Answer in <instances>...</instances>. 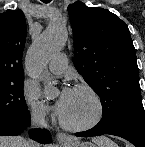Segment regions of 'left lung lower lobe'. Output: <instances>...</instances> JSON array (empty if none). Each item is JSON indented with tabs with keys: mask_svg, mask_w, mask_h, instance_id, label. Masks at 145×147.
I'll return each mask as SVG.
<instances>
[{
	"mask_svg": "<svg viewBox=\"0 0 145 147\" xmlns=\"http://www.w3.org/2000/svg\"><path fill=\"white\" fill-rule=\"evenodd\" d=\"M111 134L122 137L136 147H145V116L131 118L114 124L109 128H97L96 126L86 132H79L78 137L100 136Z\"/></svg>",
	"mask_w": 145,
	"mask_h": 147,
	"instance_id": "1",
	"label": "left lung lower lobe"
}]
</instances>
